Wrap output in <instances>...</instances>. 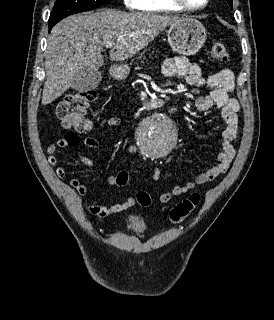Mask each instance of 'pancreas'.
Listing matches in <instances>:
<instances>
[{
	"instance_id": "cf45deb5",
	"label": "pancreas",
	"mask_w": 274,
	"mask_h": 320,
	"mask_svg": "<svg viewBox=\"0 0 274 320\" xmlns=\"http://www.w3.org/2000/svg\"><path fill=\"white\" fill-rule=\"evenodd\" d=\"M137 70H141V68H137Z\"/></svg>"
}]
</instances>
